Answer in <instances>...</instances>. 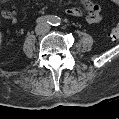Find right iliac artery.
<instances>
[{
    "label": "right iliac artery",
    "mask_w": 119,
    "mask_h": 119,
    "mask_svg": "<svg viewBox=\"0 0 119 119\" xmlns=\"http://www.w3.org/2000/svg\"><path fill=\"white\" fill-rule=\"evenodd\" d=\"M58 22V18L56 16H41L36 20L37 24H42V23H49L51 25H54Z\"/></svg>",
    "instance_id": "82829eb1"
}]
</instances>
